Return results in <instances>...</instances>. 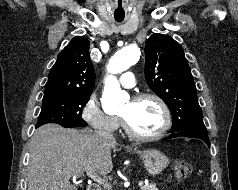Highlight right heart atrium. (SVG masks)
I'll return each instance as SVG.
<instances>
[{
  "label": "right heart atrium",
  "instance_id": "d8ad5b80",
  "mask_svg": "<svg viewBox=\"0 0 238 190\" xmlns=\"http://www.w3.org/2000/svg\"><path fill=\"white\" fill-rule=\"evenodd\" d=\"M83 120L96 130L102 132H115L120 121L118 117L105 113L95 95H91L82 109Z\"/></svg>",
  "mask_w": 238,
  "mask_h": 190
}]
</instances>
